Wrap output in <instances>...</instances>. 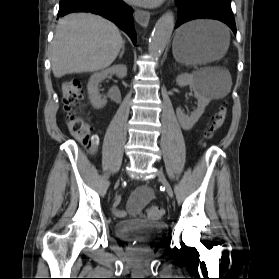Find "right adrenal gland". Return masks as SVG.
Returning a JSON list of instances; mask_svg holds the SVG:
<instances>
[{
  "mask_svg": "<svg viewBox=\"0 0 279 279\" xmlns=\"http://www.w3.org/2000/svg\"><path fill=\"white\" fill-rule=\"evenodd\" d=\"M124 50H125V41H123L122 50H121V53H120V55H119V58H120V59L123 57Z\"/></svg>",
  "mask_w": 279,
  "mask_h": 279,
  "instance_id": "2a0ac1e0",
  "label": "right adrenal gland"
}]
</instances>
